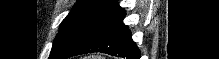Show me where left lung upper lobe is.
<instances>
[{
    "mask_svg": "<svg viewBox=\"0 0 219 59\" xmlns=\"http://www.w3.org/2000/svg\"><path fill=\"white\" fill-rule=\"evenodd\" d=\"M110 1H78L61 23L49 59H66L92 33Z\"/></svg>",
    "mask_w": 219,
    "mask_h": 59,
    "instance_id": "obj_1",
    "label": "left lung upper lobe"
}]
</instances>
